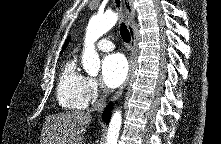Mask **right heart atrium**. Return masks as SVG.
Wrapping results in <instances>:
<instances>
[{
  "mask_svg": "<svg viewBox=\"0 0 221 144\" xmlns=\"http://www.w3.org/2000/svg\"><path fill=\"white\" fill-rule=\"evenodd\" d=\"M102 92V85L98 79L93 77H87L85 83V94L88 101L97 100Z\"/></svg>",
  "mask_w": 221,
  "mask_h": 144,
  "instance_id": "1",
  "label": "right heart atrium"
}]
</instances>
